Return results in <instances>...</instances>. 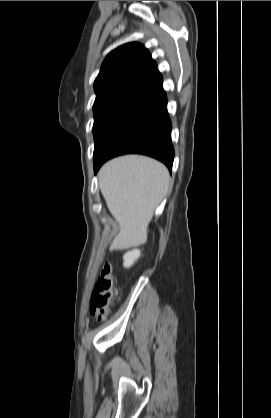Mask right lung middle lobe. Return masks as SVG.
Segmentation results:
<instances>
[{"instance_id": "1", "label": "right lung middle lobe", "mask_w": 271, "mask_h": 418, "mask_svg": "<svg viewBox=\"0 0 271 418\" xmlns=\"http://www.w3.org/2000/svg\"><path fill=\"white\" fill-rule=\"evenodd\" d=\"M153 104L133 98H118L93 105L94 159L129 123Z\"/></svg>"}]
</instances>
